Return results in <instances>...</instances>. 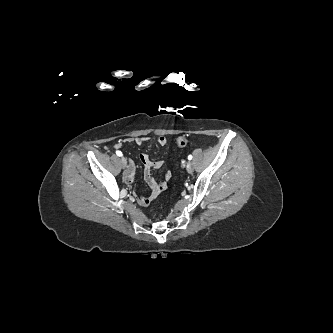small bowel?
<instances>
[{"instance_id": "1", "label": "small bowel", "mask_w": 333, "mask_h": 333, "mask_svg": "<svg viewBox=\"0 0 333 333\" xmlns=\"http://www.w3.org/2000/svg\"><path fill=\"white\" fill-rule=\"evenodd\" d=\"M128 142H135L137 145H142L146 143L147 137L140 136V137H128L126 139ZM158 144L160 146H166L167 145V139L163 136L158 138ZM122 144L117 143L115 145V148H121ZM140 162L144 166V177L147 182V184L150 187V195L149 196H140L137 198V202L141 206H148L152 200H154L161 192H163L167 188V181L170 179L171 174L168 172L165 174L164 180L161 182H157L153 176L152 172L155 169L160 168L163 165L162 161H151L146 154H140L138 156ZM134 176H135V164L133 161L129 162L128 168L124 173V181L132 185L134 182Z\"/></svg>"}]
</instances>
